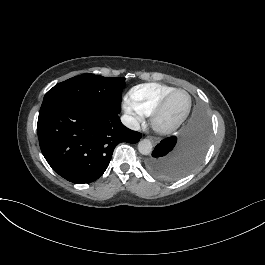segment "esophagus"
I'll list each match as a JSON object with an SVG mask.
<instances>
[{
  "mask_svg": "<svg viewBox=\"0 0 265 265\" xmlns=\"http://www.w3.org/2000/svg\"><path fill=\"white\" fill-rule=\"evenodd\" d=\"M150 139L153 141L154 144H157L160 142V140L158 138L151 137Z\"/></svg>",
  "mask_w": 265,
  "mask_h": 265,
  "instance_id": "esophagus-1",
  "label": "esophagus"
}]
</instances>
